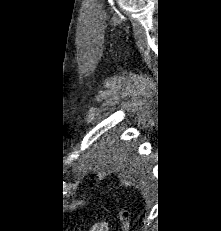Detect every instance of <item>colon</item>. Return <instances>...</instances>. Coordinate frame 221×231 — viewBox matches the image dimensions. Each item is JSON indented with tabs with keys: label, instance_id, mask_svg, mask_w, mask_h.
Returning <instances> with one entry per match:
<instances>
[{
	"label": "colon",
	"instance_id": "1",
	"mask_svg": "<svg viewBox=\"0 0 221 231\" xmlns=\"http://www.w3.org/2000/svg\"><path fill=\"white\" fill-rule=\"evenodd\" d=\"M119 220L123 231H127L129 227V212L128 210L122 208L119 211Z\"/></svg>",
	"mask_w": 221,
	"mask_h": 231
}]
</instances>
